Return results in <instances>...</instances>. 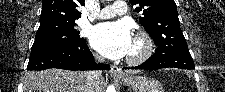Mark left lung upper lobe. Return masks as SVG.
Instances as JSON below:
<instances>
[{"mask_svg":"<svg viewBox=\"0 0 225 92\" xmlns=\"http://www.w3.org/2000/svg\"><path fill=\"white\" fill-rule=\"evenodd\" d=\"M129 1L142 13L139 21L157 45L156 54L189 53L174 0Z\"/></svg>","mask_w":225,"mask_h":92,"instance_id":"left-lung-upper-lobe-1","label":"left lung upper lobe"}]
</instances>
